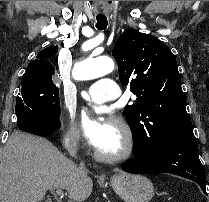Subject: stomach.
<instances>
[{
  "label": "stomach",
  "mask_w": 209,
  "mask_h": 202,
  "mask_svg": "<svg viewBox=\"0 0 209 202\" xmlns=\"http://www.w3.org/2000/svg\"><path fill=\"white\" fill-rule=\"evenodd\" d=\"M111 184L125 202H149L154 196L152 182L142 175L119 173L111 178Z\"/></svg>",
  "instance_id": "0dacf381"
}]
</instances>
